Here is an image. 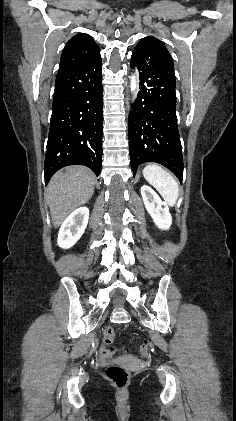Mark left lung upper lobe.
<instances>
[{
  "label": "left lung upper lobe",
  "mask_w": 236,
  "mask_h": 421,
  "mask_svg": "<svg viewBox=\"0 0 236 421\" xmlns=\"http://www.w3.org/2000/svg\"><path fill=\"white\" fill-rule=\"evenodd\" d=\"M138 45H147V46H158V47H162L165 48V46L163 45V43L156 39L155 37L152 36H148L145 37L143 39H141V41L138 43Z\"/></svg>",
  "instance_id": "1"
}]
</instances>
